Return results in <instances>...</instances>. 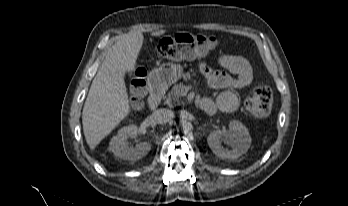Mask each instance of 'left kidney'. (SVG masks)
Segmentation results:
<instances>
[{"instance_id":"5707ae66","label":"left kidney","mask_w":348,"mask_h":206,"mask_svg":"<svg viewBox=\"0 0 348 206\" xmlns=\"http://www.w3.org/2000/svg\"><path fill=\"white\" fill-rule=\"evenodd\" d=\"M224 142L230 145L232 149L222 146ZM207 142L215 155L222 159H236L245 154L251 145V137L247 128L239 121H232L229 124L228 131L216 130L209 134Z\"/></svg>"}]
</instances>
